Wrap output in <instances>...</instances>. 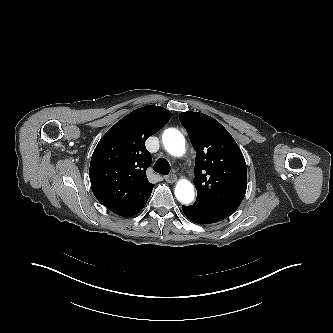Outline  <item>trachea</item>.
Here are the masks:
<instances>
[{
    "label": "trachea",
    "mask_w": 333,
    "mask_h": 333,
    "mask_svg": "<svg viewBox=\"0 0 333 333\" xmlns=\"http://www.w3.org/2000/svg\"><path fill=\"white\" fill-rule=\"evenodd\" d=\"M170 169L171 167L169 162L164 158L157 160L154 164V171L162 175H168Z\"/></svg>",
    "instance_id": "obj_1"
}]
</instances>
